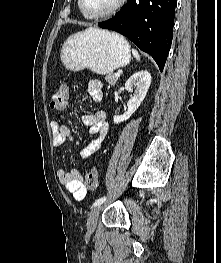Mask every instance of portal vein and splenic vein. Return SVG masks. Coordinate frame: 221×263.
Masks as SVG:
<instances>
[{"label":"portal vein and splenic vein","instance_id":"obj_1","mask_svg":"<svg viewBox=\"0 0 221 263\" xmlns=\"http://www.w3.org/2000/svg\"><path fill=\"white\" fill-rule=\"evenodd\" d=\"M114 75H115L116 77H119V76H120V73L117 72V73H115Z\"/></svg>","mask_w":221,"mask_h":263}]
</instances>
